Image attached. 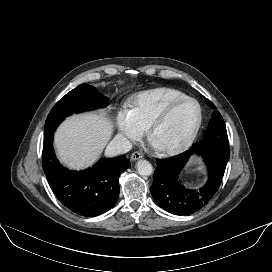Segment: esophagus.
<instances>
[{
  "instance_id": "obj_1",
  "label": "esophagus",
  "mask_w": 272,
  "mask_h": 272,
  "mask_svg": "<svg viewBox=\"0 0 272 272\" xmlns=\"http://www.w3.org/2000/svg\"><path fill=\"white\" fill-rule=\"evenodd\" d=\"M141 158H143V156H142V154L139 153V152H134V153L131 155V159H132L133 161L139 160V159H141Z\"/></svg>"
}]
</instances>
